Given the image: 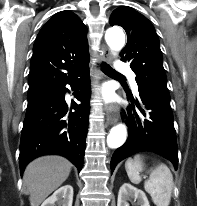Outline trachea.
Segmentation results:
<instances>
[{
	"label": "trachea",
	"instance_id": "3493384b",
	"mask_svg": "<svg viewBox=\"0 0 197 206\" xmlns=\"http://www.w3.org/2000/svg\"><path fill=\"white\" fill-rule=\"evenodd\" d=\"M102 70L105 74L109 75V76H120L123 77L122 74L118 73L117 71H115L110 65L103 63L102 64Z\"/></svg>",
	"mask_w": 197,
	"mask_h": 206
}]
</instances>
